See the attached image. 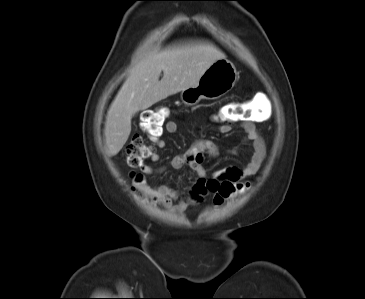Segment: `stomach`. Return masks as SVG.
<instances>
[{"label": "stomach", "mask_w": 365, "mask_h": 299, "mask_svg": "<svg viewBox=\"0 0 365 299\" xmlns=\"http://www.w3.org/2000/svg\"><path fill=\"white\" fill-rule=\"evenodd\" d=\"M239 75L234 64L226 58L213 62L196 85L181 92V100L187 106L198 104L202 99L215 100L228 93Z\"/></svg>", "instance_id": "0dacf381"}]
</instances>
